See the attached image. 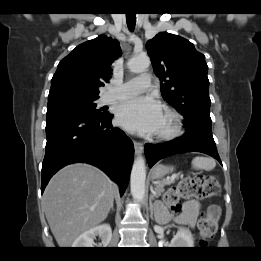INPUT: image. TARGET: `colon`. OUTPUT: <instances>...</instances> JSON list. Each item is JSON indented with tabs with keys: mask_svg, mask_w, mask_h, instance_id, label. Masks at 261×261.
I'll return each mask as SVG.
<instances>
[{
	"mask_svg": "<svg viewBox=\"0 0 261 261\" xmlns=\"http://www.w3.org/2000/svg\"><path fill=\"white\" fill-rule=\"evenodd\" d=\"M220 193V185L213 175H197L182 179L164 194L166 206L173 212L181 210L183 200H204ZM200 244L206 246L217 232L216 215L213 209L203 213L199 219Z\"/></svg>",
	"mask_w": 261,
	"mask_h": 261,
	"instance_id": "1",
	"label": "colon"
}]
</instances>
